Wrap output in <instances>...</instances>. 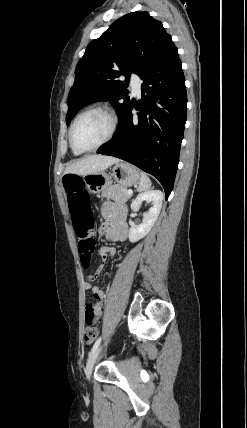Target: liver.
I'll return each instance as SVG.
<instances>
[{
    "label": "liver",
    "instance_id": "6515ba94",
    "mask_svg": "<svg viewBox=\"0 0 247 428\" xmlns=\"http://www.w3.org/2000/svg\"><path fill=\"white\" fill-rule=\"evenodd\" d=\"M118 162H120V159L112 156L90 155L70 164L66 168L65 173L85 176L87 174L103 171Z\"/></svg>",
    "mask_w": 247,
    "mask_h": 428
}]
</instances>
